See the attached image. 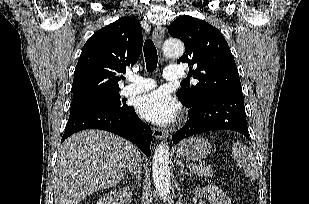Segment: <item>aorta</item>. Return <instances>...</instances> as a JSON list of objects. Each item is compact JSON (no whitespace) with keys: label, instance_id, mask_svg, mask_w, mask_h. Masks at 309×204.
Returning a JSON list of instances; mask_svg holds the SVG:
<instances>
[{"label":"aorta","instance_id":"762f6f07","mask_svg":"<svg viewBox=\"0 0 309 204\" xmlns=\"http://www.w3.org/2000/svg\"><path fill=\"white\" fill-rule=\"evenodd\" d=\"M184 45L181 41L169 39L163 45L165 56L170 58H179L184 53ZM169 146L168 143L161 142L153 156L152 175L158 194L167 199L170 194V170H169Z\"/></svg>","mask_w":309,"mask_h":204}]
</instances>
